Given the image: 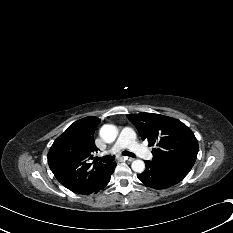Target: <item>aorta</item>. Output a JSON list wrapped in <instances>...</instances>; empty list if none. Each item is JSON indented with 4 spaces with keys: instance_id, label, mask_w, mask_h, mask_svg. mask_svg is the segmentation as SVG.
Returning <instances> with one entry per match:
<instances>
[{
    "instance_id": "1",
    "label": "aorta",
    "mask_w": 233,
    "mask_h": 233,
    "mask_svg": "<svg viewBox=\"0 0 233 233\" xmlns=\"http://www.w3.org/2000/svg\"><path fill=\"white\" fill-rule=\"evenodd\" d=\"M99 134L103 141L111 143L116 139L118 131L114 125L105 124L100 128ZM131 168L134 172L142 173L145 170V163L140 159L134 160L131 164Z\"/></svg>"
}]
</instances>
